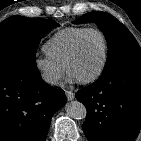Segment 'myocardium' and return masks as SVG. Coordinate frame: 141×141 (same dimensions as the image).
<instances>
[{"instance_id":"myocardium-1","label":"myocardium","mask_w":141,"mask_h":141,"mask_svg":"<svg viewBox=\"0 0 141 141\" xmlns=\"http://www.w3.org/2000/svg\"><path fill=\"white\" fill-rule=\"evenodd\" d=\"M92 32L99 34L103 40V43H104L103 61L101 63V66L99 67V69L92 76H90L87 79L79 80V82L81 84H91V83L95 82L96 80H98L102 76V74L104 73V71L107 67V64H108V60H109V42H108V39H107L105 33L102 30L95 28V27L87 28L79 35V37L77 38V40L75 41V43L72 47L70 54L68 55V58H67L66 64H65V68H66L67 72H70L69 71L70 65L73 62V60L77 57L79 50H80V47H81V44L83 42V39L85 38V36L87 34L92 33Z\"/></svg>"}]
</instances>
